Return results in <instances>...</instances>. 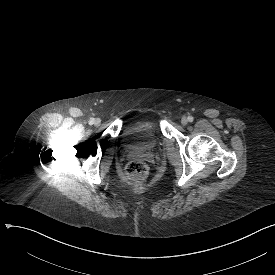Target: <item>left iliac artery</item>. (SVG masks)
Instances as JSON below:
<instances>
[{
    "label": "left iliac artery",
    "instance_id": "left-iliac-artery-1",
    "mask_svg": "<svg viewBox=\"0 0 275 275\" xmlns=\"http://www.w3.org/2000/svg\"><path fill=\"white\" fill-rule=\"evenodd\" d=\"M193 120H194V118H193L192 116H189V117H188V121H189V122H192Z\"/></svg>",
    "mask_w": 275,
    "mask_h": 275
}]
</instances>
